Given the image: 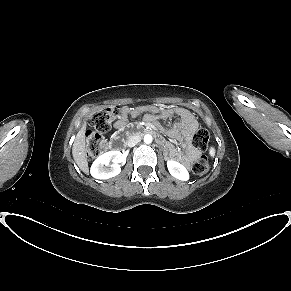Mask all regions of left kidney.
<instances>
[{"label":"left kidney","instance_id":"1","mask_svg":"<svg viewBox=\"0 0 291 291\" xmlns=\"http://www.w3.org/2000/svg\"><path fill=\"white\" fill-rule=\"evenodd\" d=\"M167 167L173 177L182 181H187L189 179V173L187 169L179 162L169 160L167 161Z\"/></svg>","mask_w":291,"mask_h":291}]
</instances>
